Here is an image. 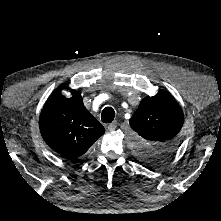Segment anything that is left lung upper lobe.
I'll use <instances>...</instances> for the list:
<instances>
[{"instance_id": "left-lung-upper-lobe-1", "label": "left lung upper lobe", "mask_w": 221, "mask_h": 221, "mask_svg": "<svg viewBox=\"0 0 221 221\" xmlns=\"http://www.w3.org/2000/svg\"><path fill=\"white\" fill-rule=\"evenodd\" d=\"M183 122V112L170 93L159 90L155 96L145 97L129 121L136 132L138 159L152 166L166 162L178 146Z\"/></svg>"}]
</instances>
